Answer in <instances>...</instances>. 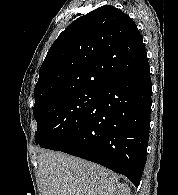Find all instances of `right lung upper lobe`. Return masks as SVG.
Wrapping results in <instances>:
<instances>
[{
    "instance_id": "cb5924a9",
    "label": "right lung upper lobe",
    "mask_w": 178,
    "mask_h": 195,
    "mask_svg": "<svg viewBox=\"0 0 178 195\" xmlns=\"http://www.w3.org/2000/svg\"><path fill=\"white\" fill-rule=\"evenodd\" d=\"M148 63L135 22L102 6L71 23L49 49L34 89L35 106L78 90H99Z\"/></svg>"
}]
</instances>
